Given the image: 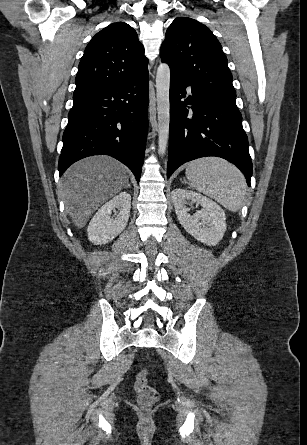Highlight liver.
<instances>
[{"mask_svg": "<svg viewBox=\"0 0 307 445\" xmlns=\"http://www.w3.org/2000/svg\"><path fill=\"white\" fill-rule=\"evenodd\" d=\"M127 184L126 166L112 156L99 154L74 162L64 172L59 190L72 223L83 229L93 212Z\"/></svg>", "mask_w": 307, "mask_h": 445, "instance_id": "liver-1", "label": "liver"}]
</instances>
